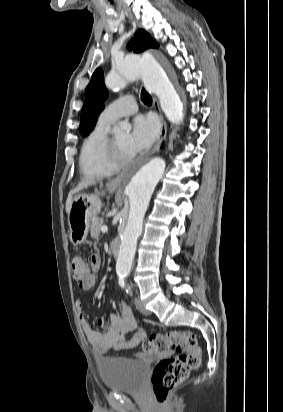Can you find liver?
<instances>
[{"instance_id": "6515ba94", "label": "liver", "mask_w": 283, "mask_h": 412, "mask_svg": "<svg viewBox=\"0 0 283 412\" xmlns=\"http://www.w3.org/2000/svg\"><path fill=\"white\" fill-rule=\"evenodd\" d=\"M95 183V181L94 180H85V181H82L81 183H79L78 185H77V187L75 188V189H73V190H71L70 192H69V194H68V197H67V200H66V207H65V209H66V212L69 214V211H70V209H71V205H72V202H73V195L74 194H76L77 192H79L80 190H82V189H84V188H87L88 186H90V185H92V184H94Z\"/></svg>"}]
</instances>
